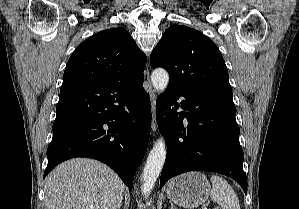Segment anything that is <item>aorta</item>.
Returning a JSON list of instances; mask_svg holds the SVG:
<instances>
[{"label": "aorta", "mask_w": 299, "mask_h": 209, "mask_svg": "<svg viewBox=\"0 0 299 209\" xmlns=\"http://www.w3.org/2000/svg\"><path fill=\"white\" fill-rule=\"evenodd\" d=\"M151 81L156 91L162 92L169 82V74L163 68L155 69L151 74ZM167 155L166 143L160 137L150 151L142 174V194L148 197L159 177Z\"/></svg>", "instance_id": "762f6f07"}]
</instances>
